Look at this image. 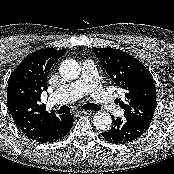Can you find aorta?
Segmentation results:
<instances>
[{"label":"aorta","mask_w":174,"mask_h":174,"mask_svg":"<svg viewBox=\"0 0 174 174\" xmlns=\"http://www.w3.org/2000/svg\"><path fill=\"white\" fill-rule=\"evenodd\" d=\"M80 71V65L74 59L64 60L59 67L60 75L66 80L77 79ZM111 123V116L106 112L98 111L93 117V124L97 129L108 130L111 127Z\"/></svg>","instance_id":"aorta-1"}]
</instances>
